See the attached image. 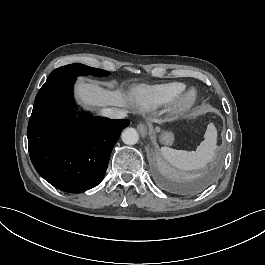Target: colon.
<instances>
[{"label":"colon","instance_id":"obj_1","mask_svg":"<svg viewBox=\"0 0 265 265\" xmlns=\"http://www.w3.org/2000/svg\"><path fill=\"white\" fill-rule=\"evenodd\" d=\"M199 111V106L198 105H193L190 110L185 111V116L186 117H192L193 114H196Z\"/></svg>","mask_w":265,"mask_h":265}]
</instances>
